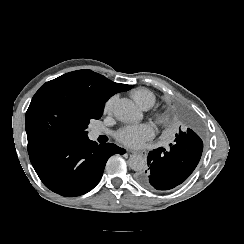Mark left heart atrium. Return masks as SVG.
<instances>
[{
    "mask_svg": "<svg viewBox=\"0 0 244 244\" xmlns=\"http://www.w3.org/2000/svg\"><path fill=\"white\" fill-rule=\"evenodd\" d=\"M155 132L149 125L131 126L120 130L116 134L119 142L138 148L154 138Z\"/></svg>",
    "mask_w": 244,
    "mask_h": 244,
    "instance_id": "39dd6f15",
    "label": "left heart atrium"
}]
</instances>
